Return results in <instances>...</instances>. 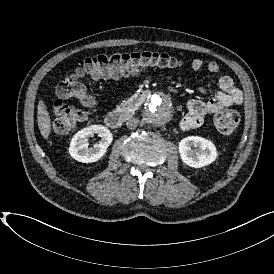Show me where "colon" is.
<instances>
[{
  "label": "colon",
  "mask_w": 274,
  "mask_h": 274,
  "mask_svg": "<svg viewBox=\"0 0 274 274\" xmlns=\"http://www.w3.org/2000/svg\"><path fill=\"white\" fill-rule=\"evenodd\" d=\"M180 64V60L173 56L152 52L98 54L85 59L81 65L67 71L56 85L57 96L52 103V130L56 134H66L81 121L83 112L67 103L70 98L77 99L81 105L90 109L95 106L93 97L87 91L85 79H114L129 76L140 69L177 67ZM239 123L240 117L236 111L223 109L216 113L215 125L221 134L233 133Z\"/></svg>",
  "instance_id": "1"
}]
</instances>
